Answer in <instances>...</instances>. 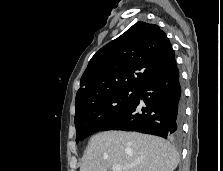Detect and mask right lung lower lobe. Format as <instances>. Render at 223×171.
<instances>
[{"instance_id": "1", "label": "right lung lower lobe", "mask_w": 223, "mask_h": 171, "mask_svg": "<svg viewBox=\"0 0 223 171\" xmlns=\"http://www.w3.org/2000/svg\"><path fill=\"white\" fill-rule=\"evenodd\" d=\"M140 99L145 106H140ZM183 118V98L175 60L136 91L133 103L100 131L124 130L178 139Z\"/></svg>"}]
</instances>
